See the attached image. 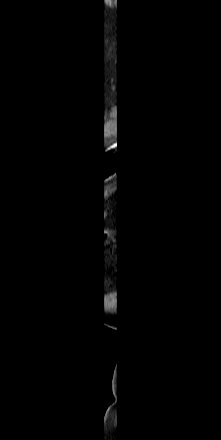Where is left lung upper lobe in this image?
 Listing matches in <instances>:
<instances>
[{
  "mask_svg": "<svg viewBox=\"0 0 221 440\" xmlns=\"http://www.w3.org/2000/svg\"><path fill=\"white\" fill-rule=\"evenodd\" d=\"M127 152L128 150L125 148L123 149L118 148L116 155L109 158L106 162H104V152L96 154L93 160V167L95 172L97 173V171H101L105 168L112 166L113 164L118 162L121 158H123Z\"/></svg>",
  "mask_w": 221,
  "mask_h": 440,
  "instance_id": "5c2ea615",
  "label": "left lung upper lobe"
}]
</instances>
